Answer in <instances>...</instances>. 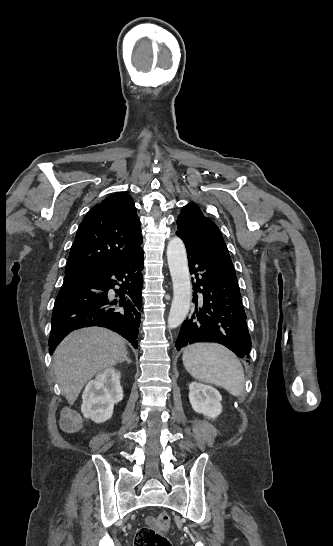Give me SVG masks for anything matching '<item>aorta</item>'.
I'll return each mask as SVG.
<instances>
[{"instance_id": "762f6f07", "label": "aorta", "mask_w": 333, "mask_h": 546, "mask_svg": "<svg viewBox=\"0 0 333 546\" xmlns=\"http://www.w3.org/2000/svg\"><path fill=\"white\" fill-rule=\"evenodd\" d=\"M167 260L173 282L174 297L168 317V327L176 328L188 315L191 302V283L187 254L181 239H171L167 246Z\"/></svg>"}]
</instances>
